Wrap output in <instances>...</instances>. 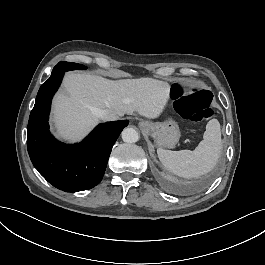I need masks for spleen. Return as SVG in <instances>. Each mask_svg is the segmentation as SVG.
<instances>
[{
    "instance_id": "spleen-1",
    "label": "spleen",
    "mask_w": 265,
    "mask_h": 265,
    "mask_svg": "<svg viewBox=\"0 0 265 265\" xmlns=\"http://www.w3.org/2000/svg\"><path fill=\"white\" fill-rule=\"evenodd\" d=\"M220 150V124L216 119H212L206 125L203 140L194 151L158 148L157 153L160 161L169 171L183 177H198L215 166Z\"/></svg>"
}]
</instances>
